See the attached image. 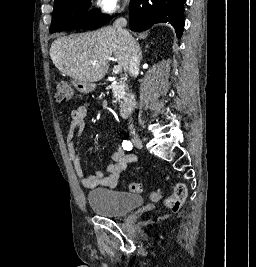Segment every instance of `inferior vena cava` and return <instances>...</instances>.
Listing matches in <instances>:
<instances>
[{"label":"inferior vena cava","mask_w":256,"mask_h":267,"mask_svg":"<svg viewBox=\"0 0 256 267\" xmlns=\"http://www.w3.org/2000/svg\"><path fill=\"white\" fill-rule=\"evenodd\" d=\"M125 26H127V20H125V18H119V20H115L113 24V28H115L116 32H118V34H121V36H126L129 42L128 70L130 72V76H133V72H138L139 70L141 52L137 42H135V40H132V38H130V34L129 32H127V30H124ZM130 122H132V118H130Z\"/></svg>","instance_id":"602c4592"}]
</instances>
